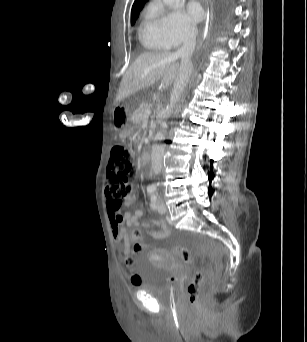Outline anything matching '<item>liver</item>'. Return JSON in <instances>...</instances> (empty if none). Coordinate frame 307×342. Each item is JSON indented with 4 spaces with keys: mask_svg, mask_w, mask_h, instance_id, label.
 I'll list each match as a JSON object with an SVG mask.
<instances>
[{
    "mask_svg": "<svg viewBox=\"0 0 307 342\" xmlns=\"http://www.w3.org/2000/svg\"><path fill=\"white\" fill-rule=\"evenodd\" d=\"M172 52H144L129 66L121 82L116 102L125 100L139 90L149 88L162 78L163 86L176 80L180 64L172 60Z\"/></svg>",
    "mask_w": 307,
    "mask_h": 342,
    "instance_id": "1",
    "label": "liver"
}]
</instances>
